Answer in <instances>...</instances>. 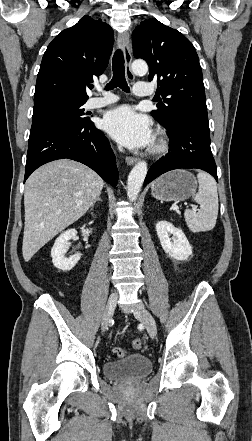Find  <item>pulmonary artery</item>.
<instances>
[{
	"mask_svg": "<svg viewBox=\"0 0 252 441\" xmlns=\"http://www.w3.org/2000/svg\"><path fill=\"white\" fill-rule=\"evenodd\" d=\"M133 92L137 97H147L154 93V90L149 84L137 83L134 85ZM118 100V97L112 93H103L101 97H92L87 103L86 107L89 109L103 107L112 104Z\"/></svg>",
	"mask_w": 252,
	"mask_h": 441,
	"instance_id": "pulmonary-artery-1",
	"label": "pulmonary artery"
}]
</instances>
